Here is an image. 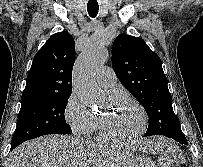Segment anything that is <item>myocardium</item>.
I'll return each mask as SVG.
<instances>
[{
  "label": "myocardium",
  "instance_id": "obj_1",
  "mask_svg": "<svg viewBox=\"0 0 203 167\" xmlns=\"http://www.w3.org/2000/svg\"><path fill=\"white\" fill-rule=\"evenodd\" d=\"M112 95L120 97L125 101H127L132 106H134L140 113L141 124L139 129L132 136L124 138V137H118L112 134L107 128L105 120L102 117H99V128L102 136L111 142H115L119 144H127V143L137 141L145 133L147 124H148V115L145 108L138 101L133 99L125 92L115 91L112 93Z\"/></svg>",
  "mask_w": 203,
  "mask_h": 167
}]
</instances>
